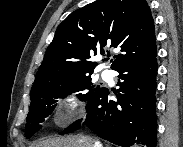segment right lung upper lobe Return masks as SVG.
Masks as SVG:
<instances>
[{
  "mask_svg": "<svg viewBox=\"0 0 183 147\" xmlns=\"http://www.w3.org/2000/svg\"><path fill=\"white\" fill-rule=\"evenodd\" d=\"M119 48L112 69L156 53L154 21L146 0H98L72 12L57 28L32 90L93 73L91 58Z\"/></svg>",
  "mask_w": 183,
  "mask_h": 147,
  "instance_id": "cb5924a9",
  "label": "right lung upper lobe"
}]
</instances>
